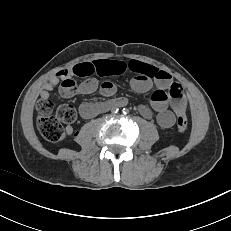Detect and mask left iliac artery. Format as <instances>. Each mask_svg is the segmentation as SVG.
<instances>
[{"label":"left iliac artery","mask_w":231,"mask_h":231,"mask_svg":"<svg viewBox=\"0 0 231 231\" xmlns=\"http://www.w3.org/2000/svg\"><path fill=\"white\" fill-rule=\"evenodd\" d=\"M122 112H123V114H127V113H129V110L126 109V108H124V109L122 110Z\"/></svg>","instance_id":"obj_1"}]
</instances>
